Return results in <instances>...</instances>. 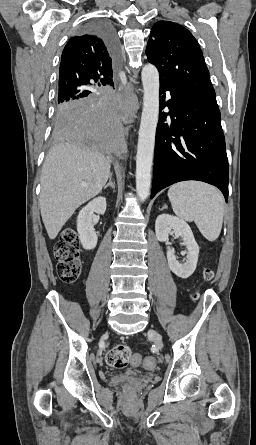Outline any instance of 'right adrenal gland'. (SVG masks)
<instances>
[{
    "label": "right adrenal gland",
    "mask_w": 256,
    "mask_h": 445,
    "mask_svg": "<svg viewBox=\"0 0 256 445\" xmlns=\"http://www.w3.org/2000/svg\"><path fill=\"white\" fill-rule=\"evenodd\" d=\"M109 186L112 187L113 190H115V185L112 181V173L109 174V182L103 187V189H106Z\"/></svg>",
    "instance_id": "obj_1"
}]
</instances>
